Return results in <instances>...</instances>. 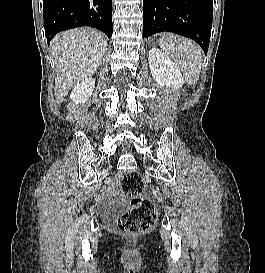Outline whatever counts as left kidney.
Masks as SVG:
<instances>
[{
  "instance_id": "obj_1",
  "label": "left kidney",
  "mask_w": 265,
  "mask_h": 273,
  "mask_svg": "<svg viewBox=\"0 0 265 273\" xmlns=\"http://www.w3.org/2000/svg\"><path fill=\"white\" fill-rule=\"evenodd\" d=\"M148 62L153 79L161 87L177 90L183 86L184 78L180 70L165 53L156 48L150 49Z\"/></svg>"
}]
</instances>
